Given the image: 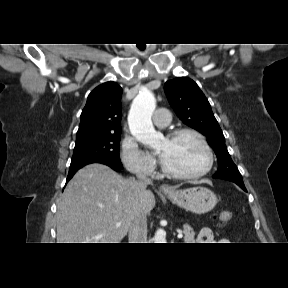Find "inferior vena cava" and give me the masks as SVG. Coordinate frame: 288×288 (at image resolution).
Instances as JSON below:
<instances>
[{
	"mask_svg": "<svg viewBox=\"0 0 288 288\" xmlns=\"http://www.w3.org/2000/svg\"><path fill=\"white\" fill-rule=\"evenodd\" d=\"M137 179L139 182L147 186L152 183L151 179L144 174H138ZM129 243H146L147 241V218L140 216L134 222L129 231Z\"/></svg>",
	"mask_w": 288,
	"mask_h": 288,
	"instance_id": "inferior-vena-cava-1",
	"label": "inferior vena cava"
}]
</instances>
